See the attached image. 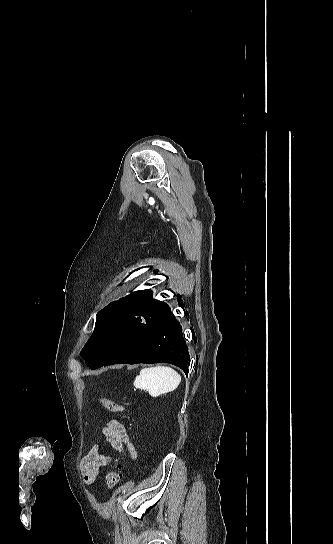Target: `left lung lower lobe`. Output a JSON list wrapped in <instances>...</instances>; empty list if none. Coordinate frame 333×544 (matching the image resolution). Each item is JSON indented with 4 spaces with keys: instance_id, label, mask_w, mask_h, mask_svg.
Returning a JSON list of instances; mask_svg holds the SVG:
<instances>
[{
    "instance_id": "left-lung-lower-lobe-1",
    "label": "left lung lower lobe",
    "mask_w": 333,
    "mask_h": 544,
    "mask_svg": "<svg viewBox=\"0 0 333 544\" xmlns=\"http://www.w3.org/2000/svg\"><path fill=\"white\" fill-rule=\"evenodd\" d=\"M102 354L103 360L91 369L117 363L164 362L180 367L187 374L190 361L181 324L171 311L149 326L136 324L125 348H103Z\"/></svg>"
}]
</instances>
